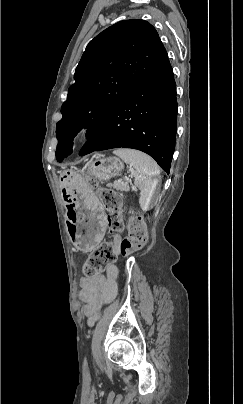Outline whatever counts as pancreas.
<instances>
[{
    "mask_svg": "<svg viewBox=\"0 0 243 404\" xmlns=\"http://www.w3.org/2000/svg\"><path fill=\"white\" fill-rule=\"evenodd\" d=\"M114 190H120V192H129L130 188L128 184H123V182H114V184H110Z\"/></svg>",
    "mask_w": 243,
    "mask_h": 404,
    "instance_id": "1",
    "label": "pancreas"
}]
</instances>
